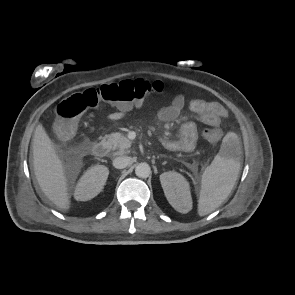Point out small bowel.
Masks as SVG:
<instances>
[{"mask_svg":"<svg viewBox=\"0 0 295 295\" xmlns=\"http://www.w3.org/2000/svg\"><path fill=\"white\" fill-rule=\"evenodd\" d=\"M185 99L182 94L178 93L171 104L161 108L156 114L158 122H170L177 119L184 108ZM189 109L195 113L201 122L212 126L219 124L222 119L227 117L226 109L217 102L206 101L203 99H191ZM131 109H121L109 114L110 120L116 121L124 118ZM197 142V128L195 123L186 122L182 125L180 136L177 139L163 138L162 144L169 150L190 152L194 149Z\"/></svg>","mask_w":295,"mask_h":295,"instance_id":"small-bowel-1","label":"small bowel"}]
</instances>
